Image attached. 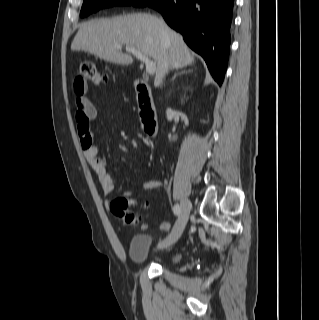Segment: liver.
<instances>
[{"label": "liver", "mask_w": 319, "mask_h": 320, "mask_svg": "<svg viewBox=\"0 0 319 320\" xmlns=\"http://www.w3.org/2000/svg\"><path fill=\"white\" fill-rule=\"evenodd\" d=\"M168 35H163V28ZM134 47L157 65L154 85L161 84L171 69L194 63V57L179 33L158 17L137 13L83 23L71 44L72 51H84L115 64L130 65L133 57L115 46Z\"/></svg>", "instance_id": "1"}]
</instances>
